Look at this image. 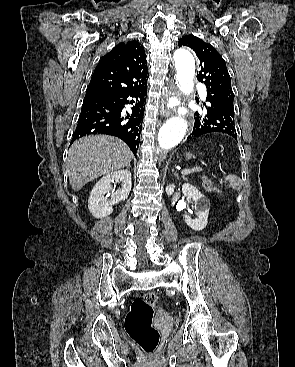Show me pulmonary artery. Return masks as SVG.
Segmentation results:
<instances>
[{
    "label": "pulmonary artery",
    "mask_w": 295,
    "mask_h": 367,
    "mask_svg": "<svg viewBox=\"0 0 295 367\" xmlns=\"http://www.w3.org/2000/svg\"><path fill=\"white\" fill-rule=\"evenodd\" d=\"M198 88L200 90V94L203 98H206V91L205 89L201 86V85H198Z\"/></svg>",
    "instance_id": "1"
}]
</instances>
